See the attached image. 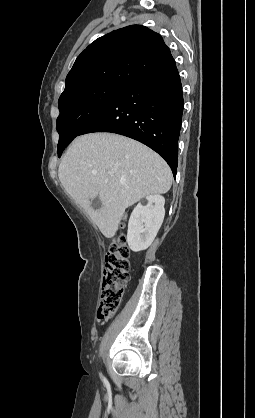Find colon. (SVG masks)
Wrapping results in <instances>:
<instances>
[{"label": "colon", "instance_id": "obj_1", "mask_svg": "<svg viewBox=\"0 0 255 418\" xmlns=\"http://www.w3.org/2000/svg\"><path fill=\"white\" fill-rule=\"evenodd\" d=\"M130 280L129 250L125 239L114 240L105 255L101 294L97 308L100 320L111 318L118 310Z\"/></svg>", "mask_w": 255, "mask_h": 418}]
</instances>
